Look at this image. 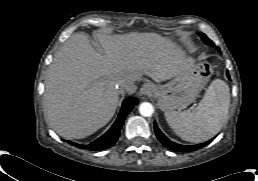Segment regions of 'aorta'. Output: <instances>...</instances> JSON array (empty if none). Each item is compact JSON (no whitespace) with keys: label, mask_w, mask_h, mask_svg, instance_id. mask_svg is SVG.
I'll use <instances>...</instances> for the list:
<instances>
[{"label":"aorta","mask_w":258,"mask_h":181,"mask_svg":"<svg viewBox=\"0 0 258 181\" xmlns=\"http://www.w3.org/2000/svg\"><path fill=\"white\" fill-rule=\"evenodd\" d=\"M139 112L144 117H150L154 112V108L151 103L143 102L139 106Z\"/></svg>","instance_id":"aorta-1"}]
</instances>
